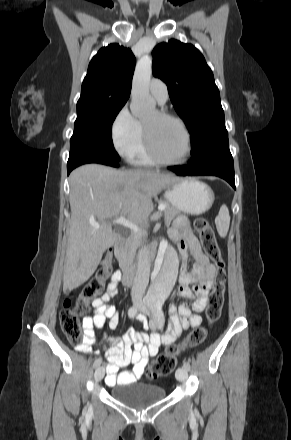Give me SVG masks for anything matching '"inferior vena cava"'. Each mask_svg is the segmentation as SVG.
Wrapping results in <instances>:
<instances>
[{"label": "inferior vena cava", "mask_w": 291, "mask_h": 440, "mask_svg": "<svg viewBox=\"0 0 291 440\" xmlns=\"http://www.w3.org/2000/svg\"><path fill=\"white\" fill-rule=\"evenodd\" d=\"M150 258L146 247H142L138 254L137 271L131 289L133 303L141 304L150 276Z\"/></svg>", "instance_id": "obj_1"}]
</instances>
